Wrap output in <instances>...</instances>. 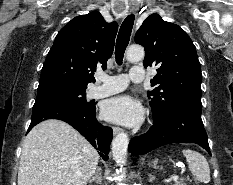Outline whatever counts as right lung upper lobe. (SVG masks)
<instances>
[{
  "instance_id": "cb5924a9",
  "label": "right lung upper lobe",
  "mask_w": 233,
  "mask_h": 185,
  "mask_svg": "<svg viewBox=\"0 0 233 185\" xmlns=\"http://www.w3.org/2000/svg\"><path fill=\"white\" fill-rule=\"evenodd\" d=\"M118 24L107 23L99 12L72 19L57 34L41 71L38 90L86 89L94 71L114 50Z\"/></svg>"
}]
</instances>
